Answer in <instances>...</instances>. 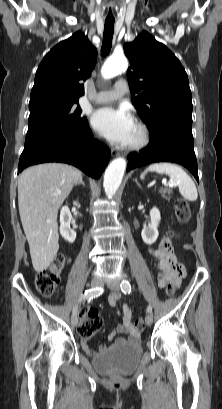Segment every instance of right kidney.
Here are the masks:
<instances>
[{
	"instance_id": "ca27d5eb",
	"label": "right kidney",
	"mask_w": 222,
	"mask_h": 409,
	"mask_svg": "<svg viewBox=\"0 0 222 409\" xmlns=\"http://www.w3.org/2000/svg\"><path fill=\"white\" fill-rule=\"evenodd\" d=\"M75 206H78L77 202H74ZM72 219L71 212L67 206L62 207L60 212V234L69 243H73L76 238L75 230L70 228V222Z\"/></svg>"
}]
</instances>
